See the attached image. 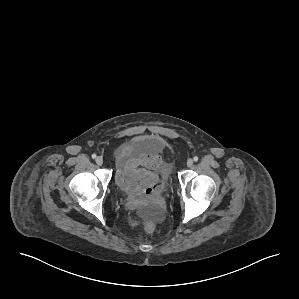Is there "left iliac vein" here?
<instances>
[{
    "instance_id": "left-iliac-vein-1",
    "label": "left iliac vein",
    "mask_w": 299,
    "mask_h": 299,
    "mask_svg": "<svg viewBox=\"0 0 299 299\" xmlns=\"http://www.w3.org/2000/svg\"><path fill=\"white\" fill-rule=\"evenodd\" d=\"M193 165V160L192 159H188L187 160V166L191 167Z\"/></svg>"
}]
</instances>
